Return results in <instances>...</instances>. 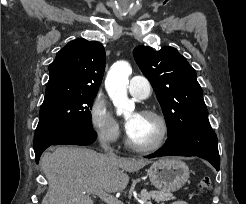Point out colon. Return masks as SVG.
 I'll return each mask as SVG.
<instances>
[{"label": "colon", "instance_id": "colon-1", "mask_svg": "<svg viewBox=\"0 0 246 204\" xmlns=\"http://www.w3.org/2000/svg\"><path fill=\"white\" fill-rule=\"evenodd\" d=\"M198 188L203 191H207L211 189V180L209 177H203L198 181Z\"/></svg>", "mask_w": 246, "mask_h": 204}]
</instances>
